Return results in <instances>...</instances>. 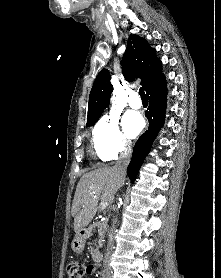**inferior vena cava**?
I'll use <instances>...</instances> for the list:
<instances>
[{
    "instance_id": "inferior-vena-cava-1",
    "label": "inferior vena cava",
    "mask_w": 221,
    "mask_h": 278,
    "mask_svg": "<svg viewBox=\"0 0 221 278\" xmlns=\"http://www.w3.org/2000/svg\"><path fill=\"white\" fill-rule=\"evenodd\" d=\"M130 158H131V150L129 148L125 149L120 154V157H119L118 161L116 162V164L114 166L115 170L117 171L118 175L121 178H125L126 169H127V166L130 162ZM116 222H117V219L115 218L113 220L111 232H110V235H109V243H108L107 251H106V254H105V258H104V271L105 272L111 270L109 262H110V257H111V254H112V251H113V248H114V236H113V234H114V231H115Z\"/></svg>"
}]
</instances>
